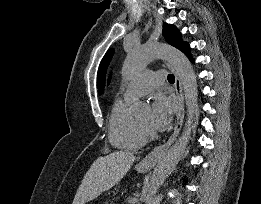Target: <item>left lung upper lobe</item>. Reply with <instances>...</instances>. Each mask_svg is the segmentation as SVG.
Here are the masks:
<instances>
[{
  "mask_svg": "<svg viewBox=\"0 0 261 204\" xmlns=\"http://www.w3.org/2000/svg\"><path fill=\"white\" fill-rule=\"evenodd\" d=\"M162 35L170 45L178 48L179 50H181L186 45V42H183L181 39V34L179 30H177L173 25L164 23ZM113 53H114L113 49L107 51L98 69L97 82H98V89L100 94L103 91L106 70L112 58Z\"/></svg>",
  "mask_w": 261,
  "mask_h": 204,
  "instance_id": "1",
  "label": "left lung upper lobe"
}]
</instances>
